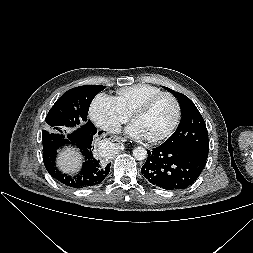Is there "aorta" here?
Segmentation results:
<instances>
[{"mask_svg": "<svg viewBox=\"0 0 253 253\" xmlns=\"http://www.w3.org/2000/svg\"><path fill=\"white\" fill-rule=\"evenodd\" d=\"M133 157L139 161L146 159V157H147L146 149L141 146L134 148L133 149Z\"/></svg>", "mask_w": 253, "mask_h": 253, "instance_id": "aorta-1", "label": "aorta"}]
</instances>
